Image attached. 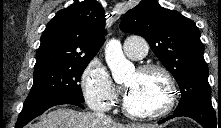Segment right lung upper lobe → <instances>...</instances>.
Segmentation results:
<instances>
[{"instance_id":"right-lung-upper-lobe-1","label":"right lung upper lobe","mask_w":221,"mask_h":128,"mask_svg":"<svg viewBox=\"0 0 221 128\" xmlns=\"http://www.w3.org/2000/svg\"><path fill=\"white\" fill-rule=\"evenodd\" d=\"M104 26L105 11L96 0L58 11L41 36L34 70L92 60L104 42Z\"/></svg>"}]
</instances>
